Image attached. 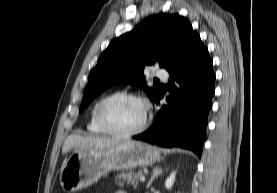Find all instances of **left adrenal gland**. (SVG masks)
Here are the masks:
<instances>
[{
  "label": "left adrenal gland",
  "mask_w": 277,
  "mask_h": 193,
  "mask_svg": "<svg viewBox=\"0 0 277 193\" xmlns=\"http://www.w3.org/2000/svg\"><path fill=\"white\" fill-rule=\"evenodd\" d=\"M162 172H163V171H162L161 168H159L158 166L155 167V168L153 169V173H152V175H151V178H150V180H149V182H148L146 188H149L150 185L152 184L153 180H154L156 177H158L160 174H162Z\"/></svg>",
  "instance_id": "obj_1"
}]
</instances>
